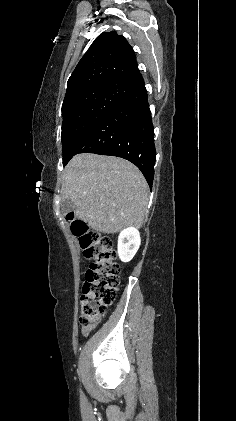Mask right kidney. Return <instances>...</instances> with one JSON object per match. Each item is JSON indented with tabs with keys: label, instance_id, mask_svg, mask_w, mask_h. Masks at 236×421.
Wrapping results in <instances>:
<instances>
[{
	"label": "right kidney",
	"instance_id": "obj_1",
	"mask_svg": "<svg viewBox=\"0 0 236 421\" xmlns=\"http://www.w3.org/2000/svg\"><path fill=\"white\" fill-rule=\"evenodd\" d=\"M140 233L134 227L124 229L118 237V255L123 263H129L140 247Z\"/></svg>",
	"mask_w": 236,
	"mask_h": 421
}]
</instances>
